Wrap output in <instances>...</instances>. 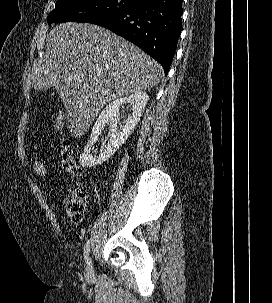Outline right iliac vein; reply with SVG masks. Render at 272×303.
I'll list each match as a JSON object with an SVG mask.
<instances>
[{
  "instance_id": "right-iliac-vein-1",
  "label": "right iliac vein",
  "mask_w": 272,
  "mask_h": 303,
  "mask_svg": "<svg viewBox=\"0 0 272 303\" xmlns=\"http://www.w3.org/2000/svg\"><path fill=\"white\" fill-rule=\"evenodd\" d=\"M94 276H95V272H94L92 259L89 258L88 261H87L86 269H85V277L88 280H92V279H94Z\"/></svg>"
}]
</instances>
